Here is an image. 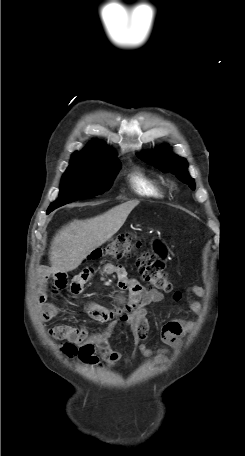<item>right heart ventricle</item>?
<instances>
[{"label":"right heart ventricle","instance_id":"right-heart-ventricle-1","mask_svg":"<svg viewBox=\"0 0 245 456\" xmlns=\"http://www.w3.org/2000/svg\"><path fill=\"white\" fill-rule=\"evenodd\" d=\"M129 183L139 195L163 197L166 194V188L161 182L139 171L130 174Z\"/></svg>","mask_w":245,"mask_h":456}]
</instances>
